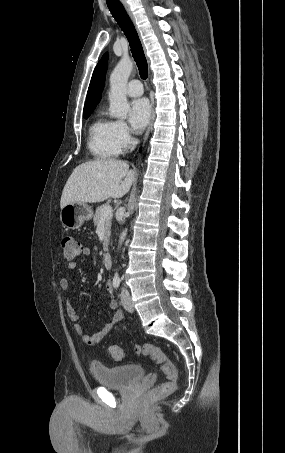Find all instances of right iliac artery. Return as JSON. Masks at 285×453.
Returning <instances> with one entry per match:
<instances>
[{
    "instance_id": "obj_1",
    "label": "right iliac artery",
    "mask_w": 285,
    "mask_h": 453,
    "mask_svg": "<svg viewBox=\"0 0 285 453\" xmlns=\"http://www.w3.org/2000/svg\"><path fill=\"white\" fill-rule=\"evenodd\" d=\"M120 281H121V280H120L118 274H116V275L114 276V278H113V287H114V288H118L119 285H120Z\"/></svg>"
}]
</instances>
